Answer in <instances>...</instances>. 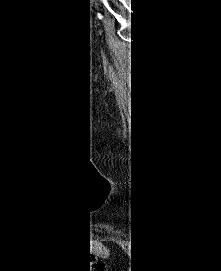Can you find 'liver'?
Segmentation results:
<instances>
[{
	"label": "liver",
	"instance_id": "obj_1",
	"mask_svg": "<svg viewBox=\"0 0 221 271\" xmlns=\"http://www.w3.org/2000/svg\"><path fill=\"white\" fill-rule=\"evenodd\" d=\"M99 251L101 255H103V257H109L110 255V251L109 249H107V247H105V245H100Z\"/></svg>",
	"mask_w": 221,
	"mask_h": 271
}]
</instances>
